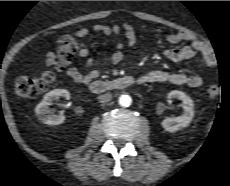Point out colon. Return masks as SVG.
<instances>
[{
    "mask_svg": "<svg viewBox=\"0 0 230 186\" xmlns=\"http://www.w3.org/2000/svg\"><path fill=\"white\" fill-rule=\"evenodd\" d=\"M81 42L78 35H65L59 38L55 46L57 63L62 66L69 63L71 57L80 49ZM53 80L51 71H43L37 76L21 75L14 83V93L18 98L25 99L35 97L44 92ZM220 88L217 84L211 83L206 88L208 97H215L219 94Z\"/></svg>",
    "mask_w": 230,
    "mask_h": 186,
    "instance_id": "1",
    "label": "colon"
}]
</instances>
